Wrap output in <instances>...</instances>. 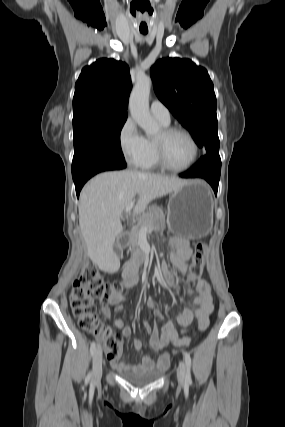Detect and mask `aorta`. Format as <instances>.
<instances>
[{
	"label": "aorta",
	"instance_id": "1",
	"mask_svg": "<svg viewBox=\"0 0 285 427\" xmlns=\"http://www.w3.org/2000/svg\"><path fill=\"white\" fill-rule=\"evenodd\" d=\"M151 85L150 77L145 75L138 77L129 98L130 114L147 136H153L159 131V126L149 111Z\"/></svg>",
	"mask_w": 285,
	"mask_h": 427
}]
</instances>
